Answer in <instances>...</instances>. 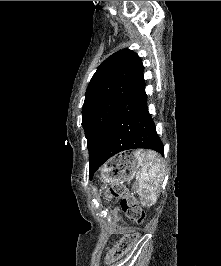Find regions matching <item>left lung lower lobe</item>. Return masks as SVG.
<instances>
[{"instance_id": "0a47b994", "label": "left lung lower lobe", "mask_w": 221, "mask_h": 266, "mask_svg": "<svg viewBox=\"0 0 221 266\" xmlns=\"http://www.w3.org/2000/svg\"><path fill=\"white\" fill-rule=\"evenodd\" d=\"M146 148L164 154L147 106L145 82L121 105L111 120L104 137L89 164V178L110 157L125 150Z\"/></svg>"}]
</instances>
